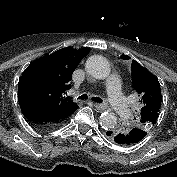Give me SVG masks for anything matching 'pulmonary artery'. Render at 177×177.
Listing matches in <instances>:
<instances>
[{
  "label": "pulmonary artery",
  "instance_id": "obj_1",
  "mask_svg": "<svg viewBox=\"0 0 177 177\" xmlns=\"http://www.w3.org/2000/svg\"><path fill=\"white\" fill-rule=\"evenodd\" d=\"M108 100L113 109L120 115L128 113V107L125 103L121 92L120 78L116 74H112L107 82Z\"/></svg>",
  "mask_w": 177,
  "mask_h": 177
}]
</instances>
